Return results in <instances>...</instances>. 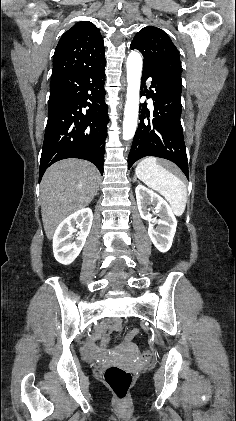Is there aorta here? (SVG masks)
Listing matches in <instances>:
<instances>
[{
	"label": "aorta",
	"instance_id": "aorta-1",
	"mask_svg": "<svg viewBox=\"0 0 236 421\" xmlns=\"http://www.w3.org/2000/svg\"><path fill=\"white\" fill-rule=\"evenodd\" d=\"M142 56L139 52H130L127 58V92L124 108V140L133 138L137 126L139 110V92L142 72Z\"/></svg>",
	"mask_w": 236,
	"mask_h": 421
}]
</instances>
